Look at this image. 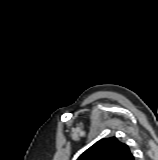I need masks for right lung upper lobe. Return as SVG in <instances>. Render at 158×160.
Wrapping results in <instances>:
<instances>
[{"instance_id":"cb5924a9","label":"right lung upper lobe","mask_w":158,"mask_h":160,"mask_svg":"<svg viewBox=\"0 0 158 160\" xmlns=\"http://www.w3.org/2000/svg\"><path fill=\"white\" fill-rule=\"evenodd\" d=\"M77 160H134V157L126 144L111 137L95 143Z\"/></svg>"}]
</instances>
